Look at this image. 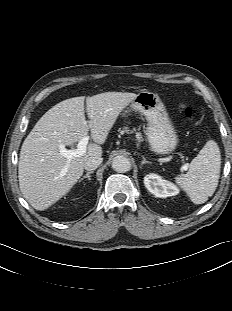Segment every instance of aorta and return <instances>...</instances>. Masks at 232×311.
<instances>
[{"mask_svg": "<svg viewBox=\"0 0 232 311\" xmlns=\"http://www.w3.org/2000/svg\"><path fill=\"white\" fill-rule=\"evenodd\" d=\"M112 168L118 173H125L131 169V162L127 157L118 155L112 161Z\"/></svg>", "mask_w": 232, "mask_h": 311, "instance_id": "762f6f07", "label": "aorta"}]
</instances>
